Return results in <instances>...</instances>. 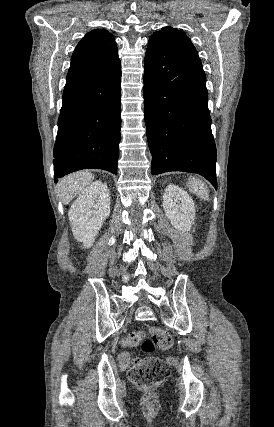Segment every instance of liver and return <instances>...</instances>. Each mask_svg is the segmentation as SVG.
I'll return each mask as SVG.
<instances>
[{
    "instance_id": "liver-1",
    "label": "liver",
    "mask_w": 274,
    "mask_h": 427,
    "mask_svg": "<svg viewBox=\"0 0 274 427\" xmlns=\"http://www.w3.org/2000/svg\"><path fill=\"white\" fill-rule=\"evenodd\" d=\"M94 176L87 172V170H83V172H76V174H69V176H65L60 180L59 186V194L60 198L67 206L79 192H82L86 186H89L91 182H93Z\"/></svg>"
}]
</instances>
